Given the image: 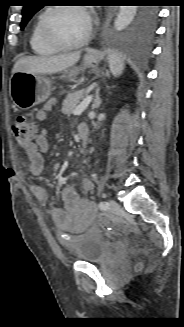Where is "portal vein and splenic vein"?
Here are the masks:
<instances>
[{
	"instance_id": "18ae733b",
	"label": "portal vein and splenic vein",
	"mask_w": 184,
	"mask_h": 327,
	"mask_svg": "<svg viewBox=\"0 0 184 327\" xmlns=\"http://www.w3.org/2000/svg\"><path fill=\"white\" fill-rule=\"evenodd\" d=\"M92 100V96H87L85 99H83V101L80 103V105H78V107H76L73 111L74 115H80L90 104Z\"/></svg>"
}]
</instances>
